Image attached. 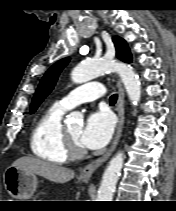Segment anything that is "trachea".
<instances>
[{
	"instance_id": "1",
	"label": "trachea",
	"mask_w": 176,
	"mask_h": 211,
	"mask_svg": "<svg viewBox=\"0 0 176 211\" xmlns=\"http://www.w3.org/2000/svg\"><path fill=\"white\" fill-rule=\"evenodd\" d=\"M109 101H110L111 104L116 103V101H117V94H113V95L110 97Z\"/></svg>"
}]
</instances>
